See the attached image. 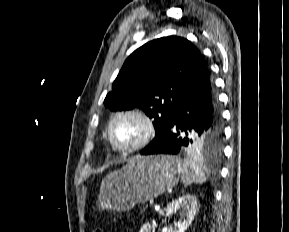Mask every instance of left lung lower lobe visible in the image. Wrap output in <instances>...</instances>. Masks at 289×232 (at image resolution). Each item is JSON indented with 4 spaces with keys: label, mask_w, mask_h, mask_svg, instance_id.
I'll use <instances>...</instances> for the list:
<instances>
[{
    "label": "left lung lower lobe",
    "mask_w": 289,
    "mask_h": 232,
    "mask_svg": "<svg viewBox=\"0 0 289 232\" xmlns=\"http://www.w3.org/2000/svg\"><path fill=\"white\" fill-rule=\"evenodd\" d=\"M220 124L213 81L205 65L180 97L166 131L140 154L188 153L186 148L196 138L216 135Z\"/></svg>",
    "instance_id": "0a47b994"
}]
</instances>
